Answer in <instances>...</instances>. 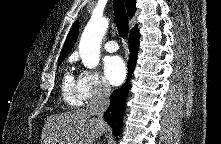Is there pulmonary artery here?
Here are the masks:
<instances>
[{
	"instance_id": "e3ab8cb5",
	"label": "pulmonary artery",
	"mask_w": 221,
	"mask_h": 144,
	"mask_svg": "<svg viewBox=\"0 0 221 144\" xmlns=\"http://www.w3.org/2000/svg\"><path fill=\"white\" fill-rule=\"evenodd\" d=\"M104 49L107 52L113 53V52H116L119 49V47L116 41H107L104 44Z\"/></svg>"
}]
</instances>
